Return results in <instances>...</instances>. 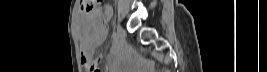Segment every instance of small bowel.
I'll return each instance as SVG.
<instances>
[{
    "instance_id": "1",
    "label": "small bowel",
    "mask_w": 267,
    "mask_h": 72,
    "mask_svg": "<svg viewBox=\"0 0 267 72\" xmlns=\"http://www.w3.org/2000/svg\"><path fill=\"white\" fill-rule=\"evenodd\" d=\"M111 11H112V8L111 6H106L105 8V12L108 16L111 15ZM106 37V33L105 32H102L101 34L98 33L97 30H95L92 35H91V39H90V44L92 46H96L98 44H100ZM82 61L88 65L89 64V52L88 50L86 49H83V52H82ZM108 71H110V67H108Z\"/></svg>"
}]
</instances>
